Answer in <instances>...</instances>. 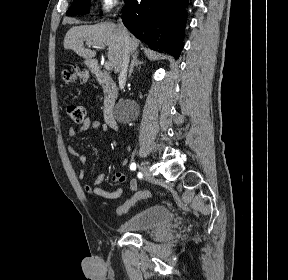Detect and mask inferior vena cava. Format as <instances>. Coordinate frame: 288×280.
Listing matches in <instances>:
<instances>
[{
	"label": "inferior vena cava",
	"instance_id": "obj_1",
	"mask_svg": "<svg viewBox=\"0 0 288 280\" xmlns=\"http://www.w3.org/2000/svg\"><path fill=\"white\" fill-rule=\"evenodd\" d=\"M118 26L121 32L123 43H124L123 55L121 59L120 77L125 78L127 75V67L129 63V57H130L129 36H128L127 30L125 29L122 23H120Z\"/></svg>",
	"mask_w": 288,
	"mask_h": 280
}]
</instances>
